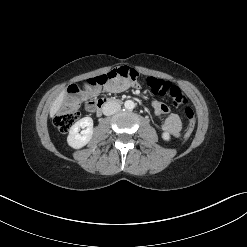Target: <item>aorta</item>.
<instances>
[{
  "label": "aorta",
  "mask_w": 247,
  "mask_h": 247,
  "mask_svg": "<svg viewBox=\"0 0 247 247\" xmlns=\"http://www.w3.org/2000/svg\"><path fill=\"white\" fill-rule=\"evenodd\" d=\"M124 106L128 110H132L135 108V103L132 100H127L125 101Z\"/></svg>",
  "instance_id": "762f6f07"
}]
</instances>
